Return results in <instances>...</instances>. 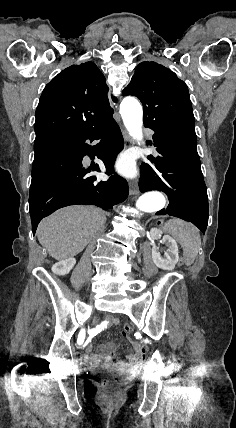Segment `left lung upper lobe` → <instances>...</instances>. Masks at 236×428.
Returning a JSON list of instances; mask_svg holds the SVG:
<instances>
[{
	"label": "left lung upper lobe",
	"instance_id": "left-lung-upper-lobe-1",
	"mask_svg": "<svg viewBox=\"0 0 236 428\" xmlns=\"http://www.w3.org/2000/svg\"><path fill=\"white\" fill-rule=\"evenodd\" d=\"M123 94L141 100L145 127L163 131L179 143L197 150L188 88L174 72L156 62H142Z\"/></svg>",
	"mask_w": 236,
	"mask_h": 428
}]
</instances>
